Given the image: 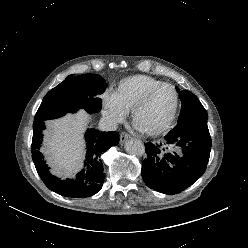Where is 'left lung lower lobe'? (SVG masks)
<instances>
[{
    "instance_id": "1",
    "label": "left lung lower lobe",
    "mask_w": 248,
    "mask_h": 248,
    "mask_svg": "<svg viewBox=\"0 0 248 248\" xmlns=\"http://www.w3.org/2000/svg\"><path fill=\"white\" fill-rule=\"evenodd\" d=\"M169 146L182 150L165 153ZM211 150L207 120L180 122L159 144L145 143L146 159L142 177L145 184L160 193L178 194L195 183L205 172Z\"/></svg>"
}]
</instances>
